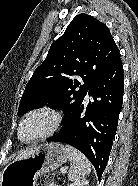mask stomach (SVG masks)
Here are the masks:
<instances>
[{
	"label": "stomach",
	"instance_id": "0dacf381",
	"mask_svg": "<svg viewBox=\"0 0 138 186\" xmlns=\"http://www.w3.org/2000/svg\"><path fill=\"white\" fill-rule=\"evenodd\" d=\"M70 155L59 143H47L25 157H17L2 171L0 186H35L39 175L66 163Z\"/></svg>",
	"mask_w": 138,
	"mask_h": 186
}]
</instances>
